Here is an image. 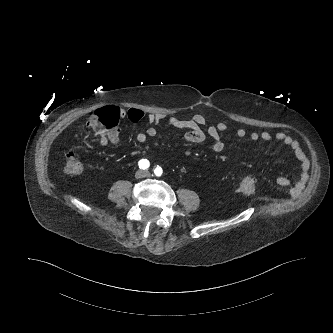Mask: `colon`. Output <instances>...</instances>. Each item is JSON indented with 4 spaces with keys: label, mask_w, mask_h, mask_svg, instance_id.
<instances>
[{
    "label": "colon",
    "mask_w": 333,
    "mask_h": 333,
    "mask_svg": "<svg viewBox=\"0 0 333 333\" xmlns=\"http://www.w3.org/2000/svg\"><path fill=\"white\" fill-rule=\"evenodd\" d=\"M120 110L115 106H106L97 109L88 119L87 125L96 136L115 132L118 127ZM64 170L68 174L77 175L83 170L78 153L69 150L65 155ZM256 178L253 175L245 176L239 183V189L246 195L255 193Z\"/></svg>",
    "instance_id": "5ec220e1"
}]
</instances>
